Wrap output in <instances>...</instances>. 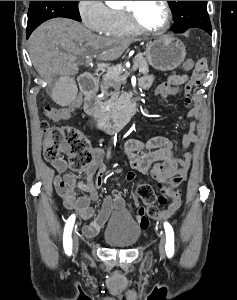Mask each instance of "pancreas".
Segmentation results:
<instances>
[{
	"label": "pancreas",
	"mask_w": 237,
	"mask_h": 300,
	"mask_svg": "<svg viewBox=\"0 0 237 300\" xmlns=\"http://www.w3.org/2000/svg\"><path fill=\"white\" fill-rule=\"evenodd\" d=\"M135 61L137 62L136 69H139L141 75L149 73V65L143 55H136L133 59V63ZM108 71L109 73H106V75H103L102 77L101 89L102 91H106V95L107 97H110V99L105 101V103H102V107L106 117H109V119H118L119 111H121L118 95L113 93V91H110V93H107V91H109L111 87H120V85H122L123 81L120 80L122 71L119 67H111Z\"/></svg>",
	"instance_id": "obj_1"
}]
</instances>
